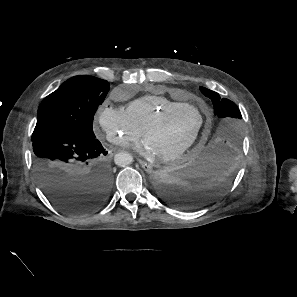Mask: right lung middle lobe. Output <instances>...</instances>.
<instances>
[{
  "mask_svg": "<svg viewBox=\"0 0 297 297\" xmlns=\"http://www.w3.org/2000/svg\"><path fill=\"white\" fill-rule=\"evenodd\" d=\"M109 89L107 81L93 76L68 79L41 102L32 137L60 130L95 137L92 129L94 114Z\"/></svg>",
  "mask_w": 297,
  "mask_h": 297,
  "instance_id": "obj_1",
  "label": "right lung middle lobe"
}]
</instances>
